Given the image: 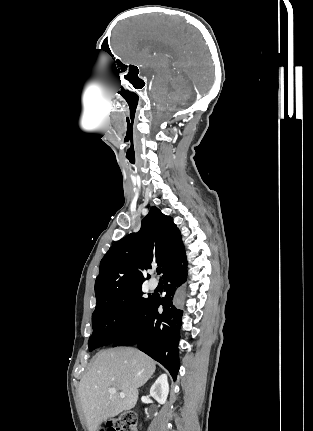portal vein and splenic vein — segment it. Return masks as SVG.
<instances>
[{"instance_id":"portal-vein-and-splenic-vein-1","label":"portal vein and splenic vein","mask_w":313,"mask_h":431,"mask_svg":"<svg viewBox=\"0 0 313 431\" xmlns=\"http://www.w3.org/2000/svg\"><path fill=\"white\" fill-rule=\"evenodd\" d=\"M108 392L110 394H115L116 393V389L115 388H109ZM120 397L124 398L125 394L123 392H120Z\"/></svg>"}]
</instances>
